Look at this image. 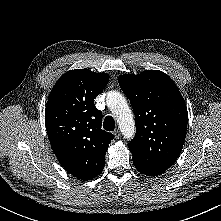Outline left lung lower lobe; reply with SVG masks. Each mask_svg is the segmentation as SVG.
<instances>
[{"label":"left lung lower lobe","instance_id":"left-lung-lower-lobe-1","mask_svg":"<svg viewBox=\"0 0 221 221\" xmlns=\"http://www.w3.org/2000/svg\"><path fill=\"white\" fill-rule=\"evenodd\" d=\"M134 165L140 173L145 174L147 176H156V175H159L167 170L165 168L144 166V165H141L138 163H134Z\"/></svg>","mask_w":221,"mask_h":221}]
</instances>
